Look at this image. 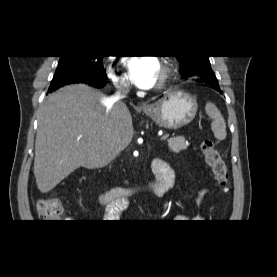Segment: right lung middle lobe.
<instances>
[{
    "mask_svg": "<svg viewBox=\"0 0 277 277\" xmlns=\"http://www.w3.org/2000/svg\"><path fill=\"white\" fill-rule=\"evenodd\" d=\"M106 79L103 56H60L49 92L68 82L88 80L104 84Z\"/></svg>",
    "mask_w": 277,
    "mask_h": 277,
    "instance_id": "obj_1",
    "label": "right lung middle lobe"
}]
</instances>
